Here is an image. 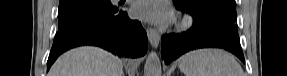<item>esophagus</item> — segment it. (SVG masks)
Wrapping results in <instances>:
<instances>
[{
  "label": "esophagus",
  "instance_id": "esophagus-1",
  "mask_svg": "<svg viewBox=\"0 0 287 76\" xmlns=\"http://www.w3.org/2000/svg\"><path fill=\"white\" fill-rule=\"evenodd\" d=\"M147 36H148V40L150 42V45L153 48H157L159 43H160V34L159 32L154 29V28H147Z\"/></svg>",
  "mask_w": 287,
  "mask_h": 76
}]
</instances>
